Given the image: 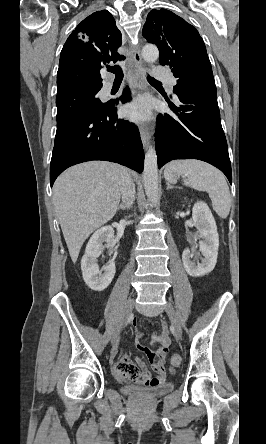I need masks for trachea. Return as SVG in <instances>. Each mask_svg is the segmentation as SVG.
Here are the masks:
<instances>
[{"mask_svg":"<svg viewBox=\"0 0 266 444\" xmlns=\"http://www.w3.org/2000/svg\"><path fill=\"white\" fill-rule=\"evenodd\" d=\"M108 72H112L115 74V79H122L124 74L122 71V68L119 65L113 66V67H108L107 68ZM147 80L149 82H154V83H160L158 80H156L155 78L151 77V76H147Z\"/></svg>","mask_w":266,"mask_h":444,"instance_id":"trachea-1","label":"trachea"}]
</instances>
